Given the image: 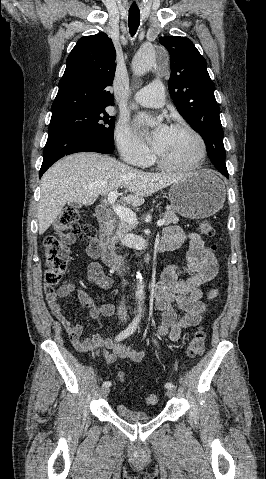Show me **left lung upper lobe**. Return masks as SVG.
<instances>
[{"label":"left lung upper lobe","mask_w":266,"mask_h":479,"mask_svg":"<svg viewBox=\"0 0 266 479\" xmlns=\"http://www.w3.org/2000/svg\"><path fill=\"white\" fill-rule=\"evenodd\" d=\"M159 42L170 53L168 88L178 112L203 138L213 165L219 171H227L220 109L206 60L186 37L165 36Z\"/></svg>","instance_id":"1"}]
</instances>
